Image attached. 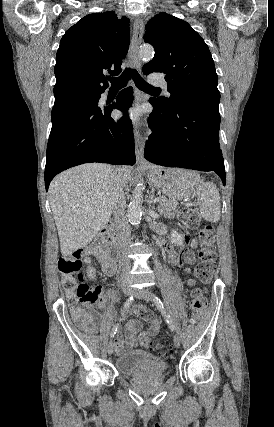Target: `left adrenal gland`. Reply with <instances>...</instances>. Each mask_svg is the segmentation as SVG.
Listing matches in <instances>:
<instances>
[{
	"label": "left adrenal gland",
	"mask_w": 274,
	"mask_h": 427,
	"mask_svg": "<svg viewBox=\"0 0 274 427\" xmlns=\"http://www.w3.org/2000/svg\"><path fill=\"white\" fill-rule=\"evenodd\" d=\"M154 194H155V190H154V188H152V190H151V196L147 200L148 206H149V208H151V210H156V208H155V206L153 204V200L155 198Z\"/></svg>",
	"instance_id": "a2214340"
}]
</instances>
